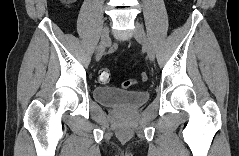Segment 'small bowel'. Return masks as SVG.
Masks as SVG:
<instances>
[{"label": "small bowel", "instance_id": "small-bowel-1", "mask_svg": "<svg viewBox=\"0 0 239 156\" xmlns=\"http://www.w3.org/2000/svg\"><path fill=\"white\" fill-rule=\"evenodd\" d=\"M117 48H118L117 43H114L110 48V52H115L117 50Z\"/></svg>", "mask_w": 239, "mask_h": 156}]
</instances>
